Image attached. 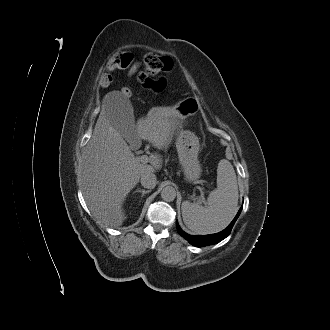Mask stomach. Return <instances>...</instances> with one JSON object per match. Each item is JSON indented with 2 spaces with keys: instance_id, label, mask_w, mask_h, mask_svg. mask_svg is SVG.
<instances>
[{
  "instance_id": "obj_1",
  "label": "stomach",
  "mask_w": 330,
  "mask_h": 330,
  "mask_svg": "<svg viewBox=\"0 0 330 330\" xmlns=\"http://www.w3.org/2000/svg\"><path fill=\"white\" fill-rule=\"evenodd\" d=\"M199 110V100L195 97H187L179 101L175 106L163 109L161 113L166 116L183 119L196 115ZM176 148L185 179L188 182H196L202 172L198 159L200 151L198 137L188 130H180L176 137Z\"/></svg>"
}]
</instances>
